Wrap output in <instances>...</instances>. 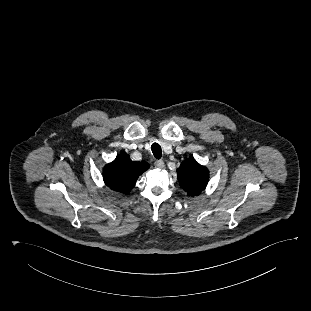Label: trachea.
I'll use <instances>...</instances> for the list:
<instances>
[{
	"label": "trachea",
	"mask_w": 311,
	"mask_h": 311,
	"mask_svg": "<svg viewBox=\"0 0 311 311\" xmlns=\"http://www.w3.org/2000/svg\"><path fill=\"white\" fill-rule=\"evenodd\" d=\"M152 153L156 159H160L162 156L161 146L158 143H153L151 146Z\"/></svg>",
	"instance_id": "3493384b"
}]
</instances>
